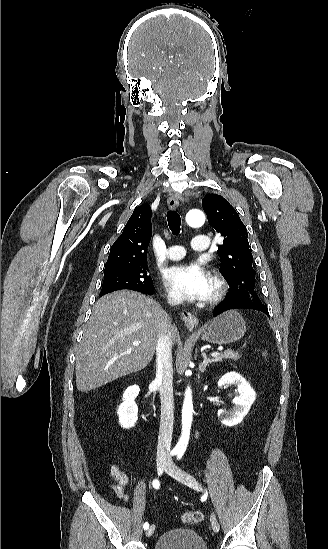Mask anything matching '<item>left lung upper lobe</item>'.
Listing matches in <instances>:
<instances>
[{"instance_id": "1", "label": "left lung upper lobe", "mask_w": 328, "mask_h": 549, "mask_svg": "<svg viewBox=\"0 0 328 549\" xmlns=\"http://www.w3.org/2000/svg\"><path fill=\"white\" fill-rule=\"evenodd\" d=\"M202 206L209 224L223 237L217 253L220 256L219 271L230 286L228 298L260 300L247 229L236 210L217 194H207Z\"/></svg>"}]
</instances>
